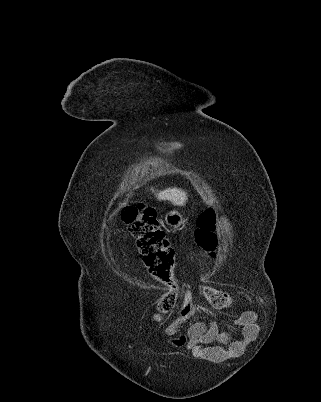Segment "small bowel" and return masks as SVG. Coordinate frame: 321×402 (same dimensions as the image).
Masks as SVG:
<instances>
[{"label": "small bowel", "mask_w": 321, "mask_h": 402, "mask_svg": "<svg viewBox=\"0 0 321 402\" xmlns=\"http://www.w3.org/2000/svg\"><path fill=\"white\" fill-rule=\"evenodd\" d=\"M198 307L191 305L185 307L173 322L167 327L166 332L173 335L186 328V333L174 340L175 345H186L191 351L188 356L205 358L209 360H223L236 356L243 357L249 343L256 338V329L259 328L258 320H252L253 313L240 315L239 320L232 323L235 329H245L242 338L229 341L222 336L216 324L189 321L197 312Z\"/></svg>", "instance_id": "obj_1"}]
</instances>
